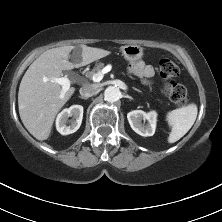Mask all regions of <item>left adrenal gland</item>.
<instances>
[{
	"label": "left adrenal gland",
	"mask_w": 222,
	"mask_h": 222,
	"mask_svg": "<svg viewBox=\"0 0 222 222\" xmlns=\"http://www.w3.org/2000/svg\"><path fill=\"white\" fill-rule=\"evenodd\" d=\"M133 89H134L135 91H137V92H141L139 89H137V88H135V87H133Z\"/></svg>",
	"instance_id": "1"
}]
</instances>
